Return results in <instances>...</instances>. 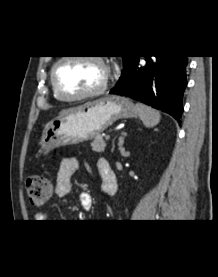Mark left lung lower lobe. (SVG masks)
<instances>
[{
	"instance_id": "obj_1",
	"label": "left lung lower lobe",
	"mask_w": 218,
	"mask_h": 277,
	"mask_svg": "<svg viewBox=\"0 0 218 277\" xmlns=\"http://www.w3.org/2000/svg\"><path fill=\"white\" fill-rule=\"evenodd\" d=\"M146 65H139L133 56L110 93L128 96L172 115L179 121L182 98L187 85V56H144Z\"/></svg>"
}]
</instances>
